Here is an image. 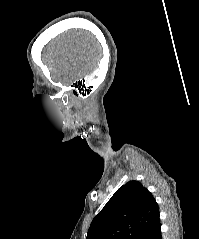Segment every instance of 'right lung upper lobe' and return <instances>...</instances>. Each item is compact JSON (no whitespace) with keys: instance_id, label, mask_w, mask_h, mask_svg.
Instances as JSON below:
<instances>
[{"instance_id":"obj_1","label":"right lung upper lobe","mask_w":199,"mask_h":239,"mask_svg":"<svg viewBox=\"0 0 199 239\" xmlns=\"http://www.w3.org/2000/svg\"><path fill=\"white\" fill-rule=\"evenodd\" d=\"M158 219L152 194L141 183L129 181L93 219L86 239H139Z\"/></svg>"}]
</instances>
